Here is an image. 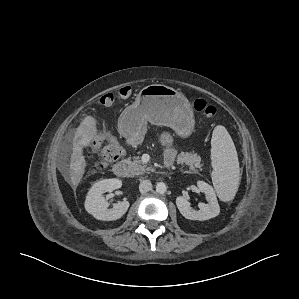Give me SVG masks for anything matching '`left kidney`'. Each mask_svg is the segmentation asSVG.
<instances>
[{"mask_svg":"<svg viewBox=\"0 0 299 299\" xmlns=\"http://www.w3.org/2000/svg\"><path fill=\"white\" fill-rule=\"evenodd\" d=\"M198 189L205 194L208 203H199V210L191 208L190 202L183 196L176 198V205L180 213L189 220H208L219 215L220 207L215 191L211 185L204 181L197 182Z\"/></svg>","mask_w":299,"mask_h":299,"instance_id":"obj_1","label":"left kidney"}]
</instances>
